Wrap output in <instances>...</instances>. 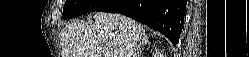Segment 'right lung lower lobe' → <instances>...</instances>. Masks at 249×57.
Here are the masks:
<instances>
[{
	"instance_id": "right-lung-lower-lobe-1",
	"label": "right lung lower lobe",
	"mask_w": 249,
	"mask_h": 57,
	"mask_svg": "<svg viewBox=\"0 0 249 57\" xmlns=\"http://www.w3.org/2000/svg\"><path fill=\"white\" fill-rule=\"evenodd\" d=\"M96 11L120 13L163 33L178 43L186 14V0H109Z\"/></svg>"
}]
</instances>
